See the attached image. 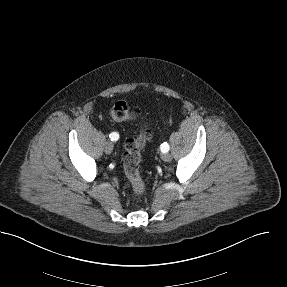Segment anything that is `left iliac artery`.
Masks as SVG:
<instances>
[{
  "mask_svg": "<svg viewBox=\"0 0 287 287\" xmlns=\"http://www.w3.org/2000/svg\"><path fill=\"white\" fill-rule=\"evenodd\" d=\"M169 145H168V143L167 142H164L163 144H161V147H160V149H161V151L163 152V153H166V152H168L169 151Z\"/></svg>",
  "mask_w": 287,
  "mask_h": 287,
  "instance_id": "obj_1",
  "label": "left iliac artery"
}]
</instances>
